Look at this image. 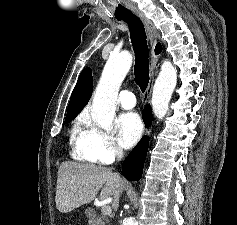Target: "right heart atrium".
<instances>
[{
	"label": "right heart atrium",
	"instance_id": "right-heart-atrium-1",
	"mask_svg": "<svg viewBox=\"0 0 237 225\" xmlns=\"http://www.w3.org/2000/svg\"><path fill=\"white\" fill-rule=\"evenodd\" d=\"M83 146L89 159L99 164H110L122 156L116 138L87 119Z\"/></svg>",
	"mask_w": 237,
	"mask_h": 225
}]
</instances>
